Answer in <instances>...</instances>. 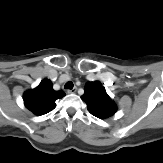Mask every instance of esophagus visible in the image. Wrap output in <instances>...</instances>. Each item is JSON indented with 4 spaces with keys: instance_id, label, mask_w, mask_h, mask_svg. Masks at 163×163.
<instances>
[{
    "instance_id": "obj_1",
    "label": "esophagus",
    "mask_w": 163,
    "mask_h": 163,
    "mask_svg": "<svg viewBox=\"0 0 163 163\" xmlns=\"http://www.w3.org/2000/svg\"><path fill=\"white\" fill-rule=\"evenodd\" d=\"M77 91V88L74 87L73 89L67 90L68 94H74Z\"/></svg>"
}]
</instances>
